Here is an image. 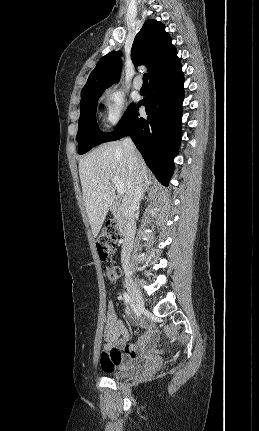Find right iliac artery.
I'll list each match as a JSON object with an SVG mask.
<instances>
[{
	"instance_id": "right-iliac-artery-1",
	"label": "right iliac artery",
	"mask_w": 259,
	"mask_h": 431,
	"mask_svg": "<svg viewBox=\"0 0 259 431\" xmlns=\"http://www.w3.org/2000/svg\"><path fill=\"white\" fill-rule=\"evenodd\" d=\"M123 297H124L125 303L127 305H129L131 303V299H130V296L128 295V293L124 292Z\"/></svg>"
}]
</instances>
